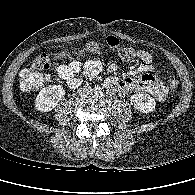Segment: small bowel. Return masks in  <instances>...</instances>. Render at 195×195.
I'll use <instances>...</instances> for the list:
<instances>
[{
    "label": "small bowel",
    "mask_w": 195,
    "mask_h": 195,
    "mask_svg": "<svg viewBox=\"0 0 195 195\" xmlns=\"http://www.w3.org/2000/svg\"><path fill=\"white\" fill-rule=\"evenodd\" d=\"M140 64L123 77L111 76L106 78L104 85L111 93L128 95L133 92H147L156 100L163 101L167 95L166 85L159 80L158 74L153 67V56L145 50L137 49ZM103 63L99 59H87L84 62L72 60L68 64L56 67L58 77L66 82L70 88H78L83 81L93 80L102 70ZM119 65L111 62L107 65L110 73H115ZM164 72V71H163Z\"/></svg>",
    "instance_id": "obj_1"
}]
</instances>
